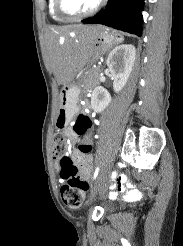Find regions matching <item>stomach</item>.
Returning <instances> with one entry per match:
<instances>
[{"instance_id": "1", "label": "stomach", "mask_w": 183, "mask_h": 246, "mask_svg": "<svg viewBox=\"0 0 183 246\" xmlns=\"http://www.w3.org/2000/svg\"><path fill=\"white\" fill-rule=\"evenodd\" d=\"M123 37L120 33L101 27L94 40L92 56H98L107 51L112 45L120 43ZM84 67V66H83ZM82 67V68H83ZM86 76V71L83 77ZM79 89L75 86H65L60 93V107L56 119L58 128H65L78 111Z\"/></svg>"}]
</instances>
